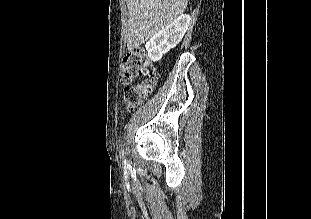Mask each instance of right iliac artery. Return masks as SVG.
I'll use <instances>...</instances> for the list:
<instances>
[{
	"mask_svg": "<svg viewBox=\"0 0 311 219\" xmlns=\"http://www.w3.org/2000/svg\"><path fill=\"white\" fill-rule=\"evenodd\" d=\"M122 156H124V153L122 152ZM125 166H128L126 160L123 161Z\"/></svg>",
	"mask_w": 311,
	"mask_h": 219,
	"instance_id": "obj_1",
	"label": "right iliac artery"
}]
</instances>
